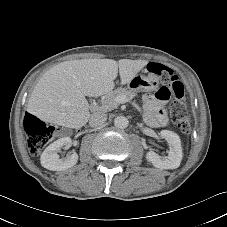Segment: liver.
Segmentation results:
<instances>
[{
  "label": "liver",
  "instance_id": "obj_1",
  "mask_svg": "<svg viewBox=\"0 0 227 227\" xmlns=\"http://www.w3.org/2000/svg\"><path fill=\"white\" fill-rule=\"evenodd\" d=\"M147 60L80 59L62 62L45 72L32 91L27 111L44 122L81 128L89 118L86 96H101L128 84Z\"/></svg>",
  "mask_w": 227,
  "mask_h": 227
}]
</instances>
